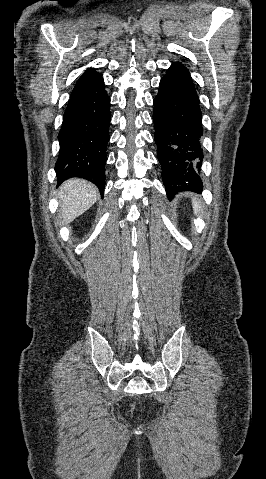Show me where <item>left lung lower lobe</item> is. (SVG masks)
Segmentation results:
<instances>
[{"label":"left lung lower lobe","instance_id":"0a47b994","mask_svg":"<svg viewBox=\"0 0 266 479\" xmlns=\"http://www.w3.org/2000/svg\"><path fill=\"white\" fill-rule=\"evenodd\" d=\"M153 122L158 160L168 198L181 191L200 193L204 159L199 98L189 71L173 63L154 99Z\"/></svg>","mask_w":266,"mask_h":479}]
</instances>
